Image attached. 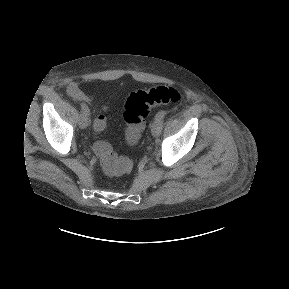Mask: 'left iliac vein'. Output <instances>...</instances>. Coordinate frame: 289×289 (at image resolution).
<instances>
[{"label": "left iliac vein", "instance_id": "obj_1", "mask_svg": "<svg viewBox=\"0 0 289 289\" xmlns=\"http://www.w3.org/2000/svg\"><path fill=\"white\" fill-rule=\"evenodd\" d=\"M162 130V120L156 119L151 124V133L154 137H158Z\"/></svg>", "mask_w": 289, "mask_h": 289}]
</instances>
